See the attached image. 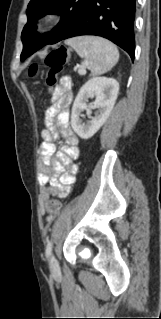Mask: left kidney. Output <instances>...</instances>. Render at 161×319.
Returning <instances> with one entry per match:
<instances>
[{
	"label": "left kidney",
	"instance_id": "left-kidney-1",
	"mask_svg": "<svg viewBox=\"0 0 161 319\" xmlns=\"http://www.w3.org/2000/svg\"><path fill=\"white\" fill-rule=\"evenodd\" d=\"M119 92V83L113 78L96 77L80 89L72 107L71 126L82 139L91 138L105 123L110 115ZM95 97L93 105L86 104L88 98ZM98 108L94 117L86 123L80 119L81 112Z\"/></svg>",
	"mask_w": 161,
	"mask_h": 319
}]
</instances>
